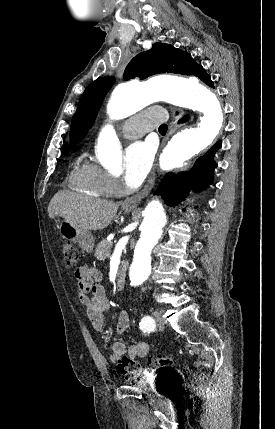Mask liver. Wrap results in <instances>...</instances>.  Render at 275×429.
Here are the masks:
<instances>
[{"label":"liver","mask_w":275,"mask_h":429,"mask_svg":"<svg viewBox=\"0 0 275 429\" xmlns=\"http://www.w3.org/2000/svg\"><path fill=\"white\" fill-rule=\"evenodd\" d=\"M119 208V204L83 196L69 190H60L48 205L50 218L62 217L73 226L86 231L106 228Z\"/></svg>","instance_id":"1"}]
</instances>
